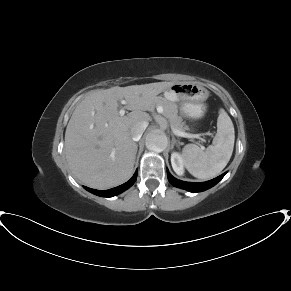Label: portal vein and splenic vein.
<instances>
[{
	"instance_id": "18ae733b",
	"label": "portal vein and splenic vein",
	"mask_w": 291,
	"mask_h": 291,
	"mask_svg": "<svg viewBox=\"0 0 291 291\" xmlns=\"http://www.w3.org/2000/svg\"><path fill=\"white\" fill-rule=\"evenodd\" d=\"M122 104H126V101L123 100V101H122ZM158 112H159V113H162V112H163V108L160 107L159 110H158ZM119 114H120L121 116H124V114H125V110L122 108V109L119 111ZM172 132H173L176 136H179V137L194 138L193 135L188 134V133H185V132H182V131L177 130V129H175V128H172ZM201 148L204 149L203 146H201Z\"/></svg>"
}]
</instances>
